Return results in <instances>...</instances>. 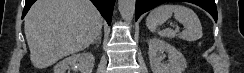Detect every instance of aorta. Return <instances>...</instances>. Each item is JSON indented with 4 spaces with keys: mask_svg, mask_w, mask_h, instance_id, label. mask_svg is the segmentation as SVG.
Listing matches in <instances>:
<instances>
[{
    "mask_svg": "<svg viewBox=\"0 0 244 73\" xmlns=\"http://www.w3.org/2000/svg\"><path fill=\"white\" fill-rule=\"evenodd\" d=\"M135 2V0H118V9L124 21H132L135 14Z\"/></svg>",
    "mask_w": 244,
    "mask_h": 73,
    "instance_id": "1",
    "label": "aorta"
}]
</instances>
